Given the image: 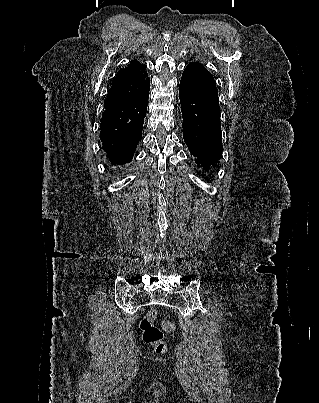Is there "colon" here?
<instances>
[{"label": "colon", "mask_w": 319, "mask_h": 403, "mask_svg": "<svg viewBox=\"0 0 319 403\" xmlns=\"http://www.w3.org/2000/svg\"><path fill=\"white\" fill-rule=\"evenodd\" d=\"M156 316V310L151 309L148 311L141 319L140 328L142 330L143 341L147 344H150L157 353L162 354L166 352L167 345L164 341V334L162 330H160L154 324Z\"/></svg>", "instance_id": "1"}]
</instances>
